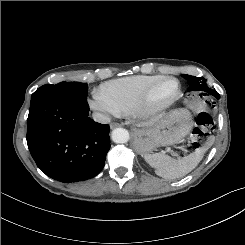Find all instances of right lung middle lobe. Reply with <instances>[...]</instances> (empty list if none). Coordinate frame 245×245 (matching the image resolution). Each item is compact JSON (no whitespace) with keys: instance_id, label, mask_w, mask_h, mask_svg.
Returning <instances> with one entry per match:
<instances>
[{"instance_id":"dd1d6c3e","label":"right lung middle lobe","mask_w":245,"mask_h":245,"mask_svg":"<svg viewBox=\"0 0 245 245\" xmlns=\"http://www.w3.org/2000/svg\"><path fill=\"white\" fill-rule=\"evenodd\" d=\"M88 91L87 83L60 82L46 84L38 88L31 96V104L48 97H63L71 100H85Z\"/></svg>"}]
</instances>
